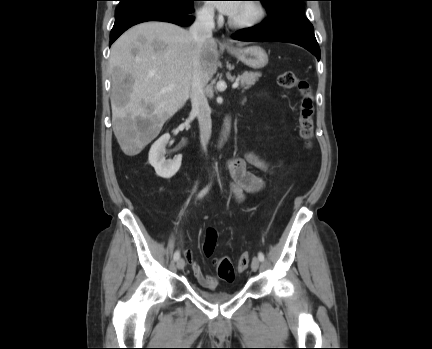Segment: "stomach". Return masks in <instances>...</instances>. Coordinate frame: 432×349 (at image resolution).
<instances>
[{
  "instance_id": "0dacf381",
  "label": "stomach",
  "mask_w": 432,
  "mask_h": 349,
  "mask_svg": "<svg viewBox=\"0 0 432 349\" xmlns=\"http://www.w3.org/2000/svg\"><path fill=\"white\" fill-rule=\"evenodd\" d=\"M227 50L239 61L253 69L263 68L268 63V55L266 51L259 46H250L245 48H228Z\"/></svg>"
}]
</instances>
